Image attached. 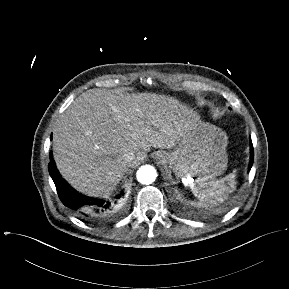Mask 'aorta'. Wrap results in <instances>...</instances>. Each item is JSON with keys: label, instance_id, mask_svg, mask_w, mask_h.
Masks as SVG:
<instances>
[{"label": "aorta", "instance_id": "aorta-1", "mask_svg": "<svg viewBox=\"0 0 289 289\" xmlns=\"http://www.w3.org/2000/svg\"><path fill=\"white\" fill-rule=\"evenodd\" d=\"M136 177L138 182L148 185L155 181L157 172L154 167L150 165H144L139 168L136 173Z\"/></svg>", "mask_w": 289, "mask_h": 289}]
</instances>
